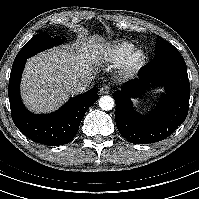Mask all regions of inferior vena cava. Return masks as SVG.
Listing matches in <instances>:
<instances>
[{
    "mask_svg": "<svg viewBox=\"0 0 199 199\" xmlns=\"http://www.w3.org/2000/svg\"><path fill=\"white\" fill-rule=\"evenodd\" d=\"M93 77L91 76H85L80 78V80H77L73 84V90L75 93H82L86 91L92 82Z\"/></svg>",
    "mask_w": 199,
    "mask_h": 199,
    "instance_id": "inferior-vena-cava-1",
    "label": "inferior vena cava"
}]
</instances>
